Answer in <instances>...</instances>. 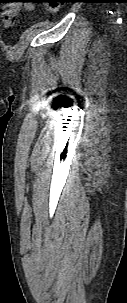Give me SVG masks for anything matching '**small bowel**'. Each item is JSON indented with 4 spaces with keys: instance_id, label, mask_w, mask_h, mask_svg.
Listing matches in <instances>:
<instances>
[{
    "instance_id": "1",
    "label": "small bowel",
    "mask_w": 127,
    "mask_h": 303,
    "mask_svg": "<svg viewBox=\"0 0 127 303\" xmlns=\"http://www.w3.org/2000/svg\"><path fill=\"white\" fill-rule=\"evenodd\" d=\"M21 6L19 4H13L9 6L7 12L5 13L4 16V24L5 26H10L13 24L14 18L19 12ZM27 8H30V6H27Z\"/></svg>"
}]
</instances>
